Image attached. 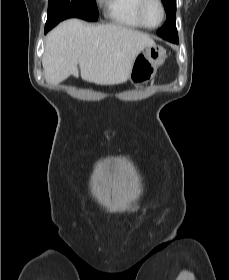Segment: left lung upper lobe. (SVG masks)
I'll return each instance as SVG.
<instances>
[{
  "mask_svg": "<svg viewBox=\"0 0 229 280\" xmlns=\"http://www.w3.org/2000/svg\"><path fill=\"white\" fill-rule=\"evenodd\" d=\"M162 2L167 13V21L157 31V34L169 41L178 39L176 29V0H162Z\"/></svg>",
  "mask_w": 229,
  "mask_h": 280,
  "instance_id": "5c2ea615",
  "label": "left lung upper lobe"
}]
</instances>
